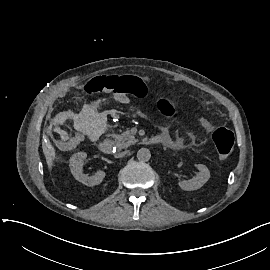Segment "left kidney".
Segmentation results:
<instances>
[{
	"label": "left kidney",
	"instance_id": "5707ae66",
	"mask_svg": "<svg viewBox=\"0 0 270 270\" xmlns=\"http://www.w3.org/2000/svg\"><path fill=\"white\" fill-rule=\"evenodd\" d=\"M199 173L190 180L180 181L178 185L185 191H193L201 188L210 178V172L205 165L198 164Z\"/></svg>",
	"mask_w": 270,
	"mask_h": 270
}]
</instances>
